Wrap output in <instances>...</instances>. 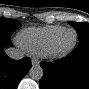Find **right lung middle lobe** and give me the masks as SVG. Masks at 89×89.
<instances>
[{
  "instance_id": "dd1d6c3e",
  "label": "right lung middle lobe",
  "mask_w": 89,
  "mask_h": 89,
  "mask_svg": "<svg viewBox=\"0 0 89 89\" xmlns=\"http://www.w3.org/2000/svg\"><path fill=\"white\" fill-rule=\"evenodd\" d=\"M21 26L18 20L0 18V38H10L12 33Z\"/></svg>"
}]
</instances>
